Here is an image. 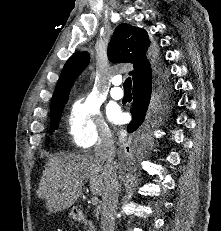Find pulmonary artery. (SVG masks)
Listing matches in <instances>:
<instances>
[{
  "label": "pulmonary artery",
  "mask_w": 221,
  "mask_h": 231,
  "mask_svg": "<svg viewBox=\"0 0 221 231\" xmlns=\"http://www.w3.org/2000/svg\"><path fill=\"white\" fill-rule=\"evenodd\" d=\"M112 83H113L114 86L110 90L111 97L113 99H116V100L122 99L123 98V91L119 87V85L121 83V78L119 76L113 78Z\"/></svg>",
  "instance_id": "obj_1"
}]
</instances>
